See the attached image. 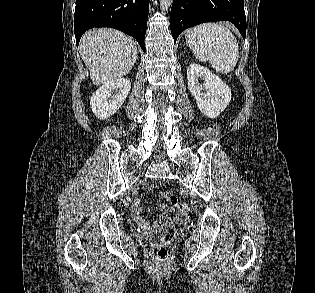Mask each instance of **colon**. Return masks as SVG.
<instances>
[{
	"label": "colon",
	"mask_w": 315,
	"mask_h": 293,
	"mask_svg": "<svg viewBox=\"0 0 315 293\" xmlns=\"http://www.w3.org/2000/svg\"><path fill=\"white\" fill-rule=\"evenodd\" d=\"M160 194L172 206L178 209L179 214L181 215L186 214V212L188 211L187 204L180 201L175 194L168 191H162ZM174 234L175 229L171 225L167 226L164 230H162L159 239L155 241L151 247L152 253L156 259L164 261L168 258V244L172 241Z\"/></svg>",
	"instance_id": "obj_1"
}]
</instances>
